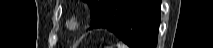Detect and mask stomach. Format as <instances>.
<instances>
[{
    "mask_svg": "<svg viewBox=\"0 0 213 48\" xmlns=\"http://www.w3.org/2000/svg\"><path fill=\"white\" fill-rule=\"evenodd\" d=\"M99 33H101V34H105V31H103V30H99Z\"/></svg>",
    "mask_w": 213,
    "mask_h": 48,
    "instance_id": "obj_1",
    "label": "stomach"
}]
</instances>
